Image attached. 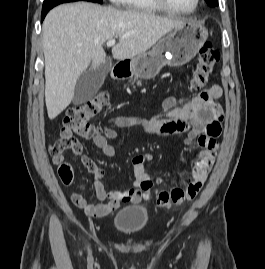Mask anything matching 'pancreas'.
<instances>
[{
  "mask_svg": "<svg viewBox=\"0 0 265 269\" xmlns=\"http://www.w3.org/2000/svg\"><path fill=\"white\" fill-rule=\"evenodd\" d=\"M135 81H136V78L133 80V83H135Z\"/></svg>",
  "mask_w": 265,
  "mask_h": 269,
  "instance_id": "cf45deb5",
  "label": "pancreas"
}]
</instances>
